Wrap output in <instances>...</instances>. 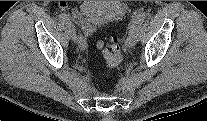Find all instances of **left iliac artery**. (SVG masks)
<instances>
[{"label":"left iliac artery","mask_w":207,"mask_h":121,"mask_svg":"<svg viewBox=\"0 0 207 121\" xmlns=\"http://www.w3.org/2000/svg\"><path fill=\"white\" fill-rule=\"evenodd\" d=\"M146 19V13L145 12H139L136 17L133 19V22L131 24V27H130V31H133V30H136V29H139L140 26L143 24L144 20Z\"/></svg>","instance_id":"left-iliac-artery-1"}]
</instances>
